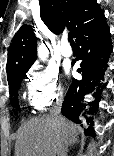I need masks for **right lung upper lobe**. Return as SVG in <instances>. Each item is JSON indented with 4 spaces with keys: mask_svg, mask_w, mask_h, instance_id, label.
Masks as SVG:
<instances>
[{
    "mask_svg": "<svg viewBox=\"0 0 114 156\" xmlns=\"http://www.w3.org/2000/svg\"><path fill=\"white\" fill-rule=\"evenodd\" d=\"M40 16L45 25L55 34L65 27L76 34L100 10L96 0H39ZM36 36L30 25H23L13 38L7 60L8 82L28 71L37 58Z\"/></svg>",
    "mask_w": 114,
    "mask_h": 156,
    "instance_id": "obj_1",
    "label": "right lung upper lobe"
}]
</instances>
